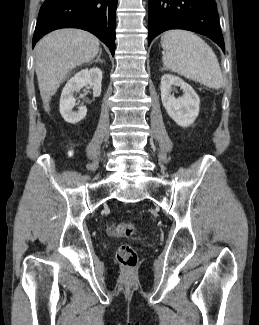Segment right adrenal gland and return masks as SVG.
I'll return each instance as SVG.
<instances>
[{
	"mask_svg": "<svg viewBox=\"0 0 259 325\" xmlns=\"http://www.w3.org/2000/svg\"><path fill=\"white\" fill-rule=\"evenodd\" d=\"M101 54H102V51L100 50V52H99V55L97 56V59L96 60H94V61H91V64L93 63V62H98V61H100V62H103L102 60H101Z\"/></svg>",
	"mask_w": 259,
	"mask_h": 325,
	"instance_id": "1",
	"label": "right adrenal gland"
}]
</instances>
